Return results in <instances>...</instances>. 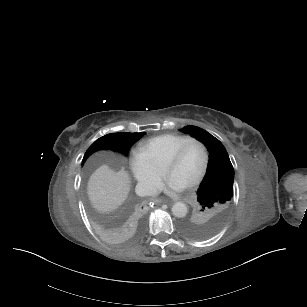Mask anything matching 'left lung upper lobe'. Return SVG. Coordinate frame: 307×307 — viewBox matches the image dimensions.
<instances>
[{
  "mask_svg": "<svg viewBox=\"0 0 307 307\" xmlns=\"http://www.w3.org/2000/svg\"><path fill=\"white\" fill-rule=\"evenodd\" d=\"M209 151L206 174L197 191L192 216L184 219L180 226L188 237L205 239L217 233L226 221L233 198L234 169L223 144L207 131L186 126Z\"/></svg>",
  "mask_w": 307,
  "mask_h": 307,
  "instance_id": "left-lung-upper-lobe-1",
  "label": "left lung upper lobe"
}]
</instances>
